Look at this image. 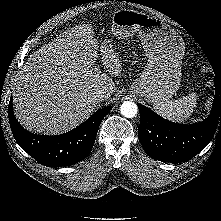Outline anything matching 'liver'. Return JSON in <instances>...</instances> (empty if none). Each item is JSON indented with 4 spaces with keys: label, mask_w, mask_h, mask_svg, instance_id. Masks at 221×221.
<instances>
[{
    "label": "liver",
    "mask_w": 221,
    "mask_h": 221,
    "mask_svg": "<svg viewBox=\"0 0 221 221\" xmlns=\"http://www.w3.org/2000/svg\"><path fill=\"white\" fill-rule=\"evenodd\" d=\"M107 43L99 48L92 26L83 24L33 53L13 90L20 124L31 132L55 135L86 120L97 104L92 94L103 90L109 98L115 91L112 77L122 69L118 53ZM99 52L108 73L93 68Z\"/></svg>",
    "instance_id": "1"
}]
</instances>
